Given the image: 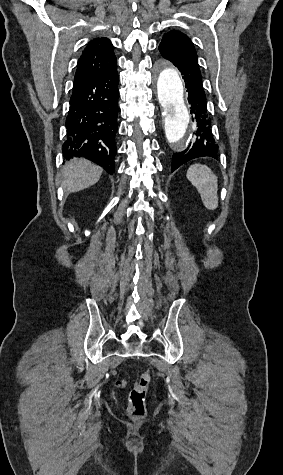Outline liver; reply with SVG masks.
Instances as JSON below:
<instances>
[{
	"label": "liver",
	"mask_w": 283,
	"mask_h": 475,
	"mask_svg": "<svg viewBox=\"0 0 283 475\" xmlns=\"http://www.w3.org/2000/svg\"><path fill=\"white\" fill-rule=\"evenodd\" d=\"M102 172L100 166H95L85 158H73L63 168V188L67 192H80L84 188H90L100 180Z\"/></svg>",
	"instance_id": "1"
}]
</instances>
